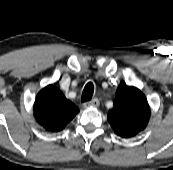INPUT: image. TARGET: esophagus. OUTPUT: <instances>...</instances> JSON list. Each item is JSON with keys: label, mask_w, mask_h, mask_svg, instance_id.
Instances as JSON below:
<instances>
[{"label": "esophagus", "mask_w": 173, "mask_h": 170, "mask_svg": "<svg viewBox=\"0 0 173 170\" xmlns=\"http://www.w3.org/2000/svg\"><path fill=\"white\" fill-rule=\"evenodd\" d=\"M99 104H100L99 100L97 98H94V99H92L89 102H85L83 104V107L84 108H89V107L97 108L99 106Z\"/></svg>", "instance_id": "esophagus-1"}]
</instances>
